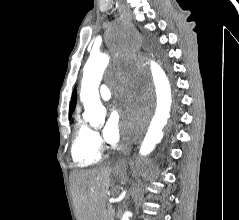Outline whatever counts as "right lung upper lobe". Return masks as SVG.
Listing matches in <instances>:
<instances>
[{
  "instance_id": "1",
  "label": "right lung upper lobe",
  "mask_w": 239,
  "mask_h": 220,
  "mask_svg": "<svg viewBox=\"0 0 239 220\" xmlns=\"http://www.w3.org/2000/svg\"><path fill=\"white\" fill-rule=\"evenodd\" d=\"M76 100H77V93L76 90L73 91L72 98H71V103H70V108H69V116L71 117L72 112L76 106Z\"/></svg>"
}]
</instances>
